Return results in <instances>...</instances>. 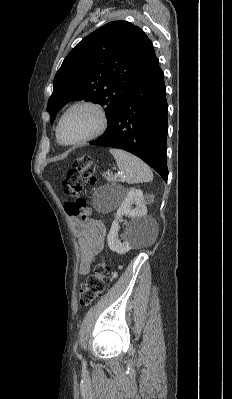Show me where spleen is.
Wrapping results in <instances>:
<instances>
[{
    "label": "spleen",
    "mask_w": 232,
    "mask_h": 399,
    "mask_svg": "<svg viewBox=\"0 0 232 399\" xmlns=\"http://www.w3.org/2000/svg\"><path fill=\"white\" fill-rule=\"evenodd\" d=\"M117 162V166L125 174L126 184H139V182H152L153 174L142 160L132 156L124 150H109Z\"/></svg>",
    "instance_id": "spleen-1"
}]
</instances>
